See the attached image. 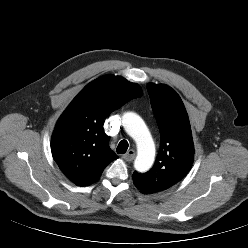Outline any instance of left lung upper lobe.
<instances>
[{
	"label": "left lung upper lobe",
	"instance_id": "1",
	"mask_svg": "<svg viewBox=\"0 0 248 248\" xmlns=\"http://www.w3.org/2000/svg\"><path fill=\"white\" fill-rule=\"evenodd\" d=\"M161 136L154 166L146 173L134 172V185L145 194L162 192L181 181L190 171L194 145L190 122L179 95L169 86L147 85Z\"/></svg>",
	"mask_w": 248,
	"mask_h": 248
}]
</instances>
